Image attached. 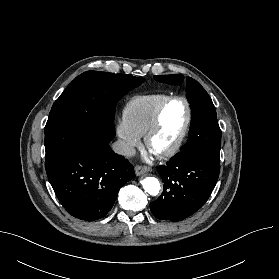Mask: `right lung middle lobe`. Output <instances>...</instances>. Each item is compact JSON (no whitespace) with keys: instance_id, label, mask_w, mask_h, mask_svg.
<instances>
[{"instance_id":"1","label":"right lung middle lobe","mask_w":279,"mask_h":279,"mask_svg":"<svg viewBox=\"0 0 279 279\" xmlns=\"http://www.w3.org/2000/svg\"><path fill=\"white\" fill-rule=\"evenodd\" d=\"M143 81L127 74L99 71L76 77L53 104L45 126L47 175L63 156L83 143L89 127L113 132L117 101ZM105 137L107 142L114 138L112 134Z\"/></svg>"}]
</instances>
